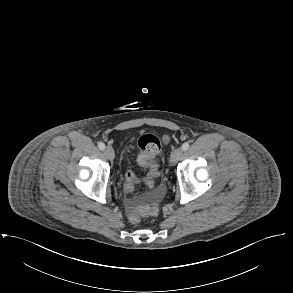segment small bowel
Masks as SVG:
<instances>
[{
    "label": "small bowel",
    "instance_id": "small-bowel-1",
    "mask_svg": "<svg viewBox=\"0 0 293 293\" xmlns=\"http://www.w3.org/2000/svg\"><path fill=\"white\" fill-rule=\"evenodd\" d=\"M132 189L133 188H129V189L125 188V191L130 192V191H132ZM125 205H126V210H127L128 213H130L135 207V204H134L133 200L131 198H129V197L126 198Z\"/></svg>",
    "mask_w": 293,
    "mask_h": 293
}]
</instances>
